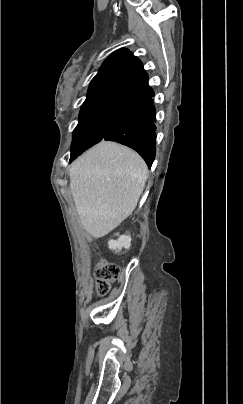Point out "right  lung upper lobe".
Masks as SVG:
<instances>
[{"instance_id":"obj_1","label":"right lung upper lobe","mask_w":243,"mask_h":404,"mask_svg":"<svg viewBox=\"0 0 243 404\" xmlns=\"http://www.w3.org/2000/svg\"><path fill=\"white\" fill-rule=\"evenodd\" d=\"M140 60L127 49L112 53L92 79L82 107L104 102L128 104L153 94Z\"/></svg>"}]
</instances>
